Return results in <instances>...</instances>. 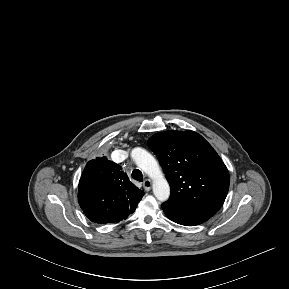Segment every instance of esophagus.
Instances as JSON below:
<instances>
[{
    "mask_svg": "<svg viewBox=\"0 0 289 289\" xmlns=\"http://www.w3.org/2000/svg\"><path fill=\"white\" fill-rule=\"evenodd\" d=\"M143 187L146 191H150L152 188V182L149 179L144 180Z\"/></svg>",
    "mask_w": 289,
    "mask_h": 289,
    "instance_id": "esophagus-1",
    "label": "esophagus"
}]
</instances>
